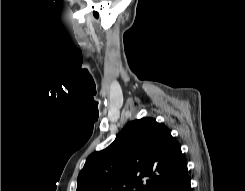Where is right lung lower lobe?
Masks as SVG:
<instances>
[{
	"label": "right lung lower lobe",
	"instance_id": "right-lung-lower-lobe-1",
	"mask_svg": "<svg viewBox=\"0 0 245 191\" xmlns=\"http://www.w3.org/2000/svg\"><path fill=\"white\" fill-rule=\"evenodd\" d=\"M155 191H191L187 167L171 179L163 182Z\"/></svg>",
	"mask_w": 245,
	"mask_h": 191
}]
</instances>
